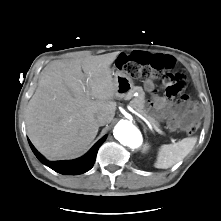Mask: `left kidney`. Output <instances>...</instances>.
I'll use <instances>...</instances> for the list:
<instances>
[{"instance_id":"obj_1","label":"left kidney","mask_w":221,"mask_h":221,"mask_svg":"<svg viewBox=\"0 0 221 221\" xmlns=\"http://www.w3.org/2000/svg\"><path fill=\"white\" fill-rule=\"evenodd\" d=\"M148 148H149V146H148V144H146V145L144 146V151H146Z\"/></svg>"}]
</instances>
